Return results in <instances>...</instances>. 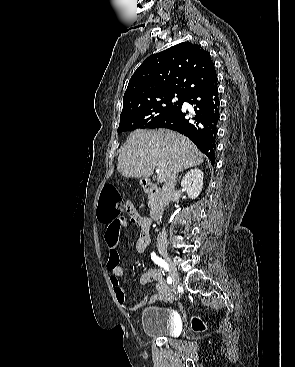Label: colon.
I'll use <instances>...</instances> for the list:
<instances>
[{
    "instance_id": "obj_1",
    "label": "colon",
    "mask_w": 295,
    "mask_h": 367,
    "mask_svg": "<svg viewBox=\"0 0 295 367\" xmlns=\"http://www.w3.org/2000/svg\"><path fill=\"white\" fill-rule=\"evenodd\" d=\"M125 208L119 192L112 184H107L103 187L100 195L99 217L101 222L107 223L119 218V214ZM192 327L195 331L204 329L203 322L195 317L192 320Z\"/></svg>"
}]
</instances>
